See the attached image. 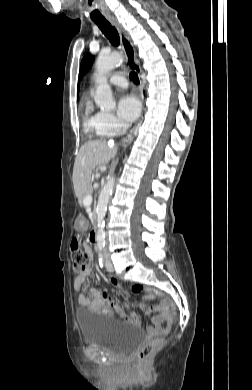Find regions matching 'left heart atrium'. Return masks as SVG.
<instances>
[{
    "label": "left heart atrium",
    "mask_w": 252,
    "mask_h": 390,
    "mask_svg": "<svg viewBox=\"0 0 252 390\" xmlns=\"http://www.w3.org/2000/svg\"><path fill=\"white\" fill-rule=\"evenodd\" d=\"M140 110L141 104L134 95H124L118 101V114L126 122L134 121L138 117Z\"/></svg>",
    "instance_id": "left-heart-atrium-1"
}]
</instances>
